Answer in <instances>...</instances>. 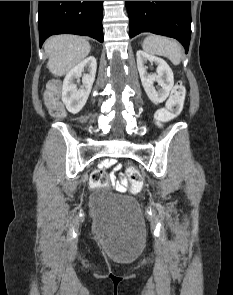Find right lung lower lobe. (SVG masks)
<instances>
[{"label":"right lung lower lobe","mask_w":233,"mask_h":295,"mask_svg":"<svg viewBox=\"0 0 233 295\" xmlns=\"http://www.w3.org/2000/svg\"><path fill=\"white\" fill-rule=\"evenodd\" d=\"M40 46L53 34L86 35L103 42V1H39Z\"/></svg>","instance_id":"obj_1"}]
</instances>
